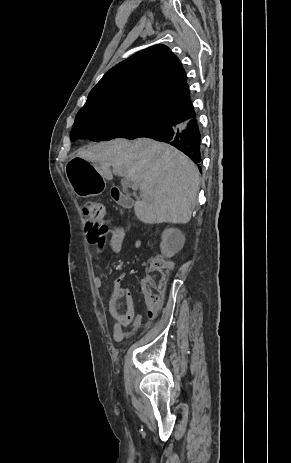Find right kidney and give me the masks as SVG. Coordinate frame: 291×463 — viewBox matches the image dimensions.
Listing matches in <instances>:
<instances>
[{"instance_id":"obj_1","label":"right kidney","mask_w":291,"mask_h":463,"mask_svg":"<svg viewBox=\"0 0 291 463\" xmlns=\"http://www.w3.org/2000/svg\"><path fill=\"white\" fill-rule=\"evenodd\" d=\"M185 243V236L177 228H167L162 233L161 252L167 257L173 256Z\"/></svg>"}]
</instances>
